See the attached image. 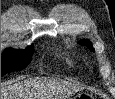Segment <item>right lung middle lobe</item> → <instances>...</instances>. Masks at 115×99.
Masks as SVG:
<instances>
[{
    "label": "right lung middle lobe",
    "mask_w": 115,
    "mask_h": 99,
    "mask_svg": "<svg viewBox=\"0 0 115 99\" xmlns=\"http://www.w3.org/2000/svg\"><path fill=\"white\" fill-rule=\"evenodd\" d=\"M33 54V45L28 46L26 50L8 49L1 57V76L26 68L31 62Z\"/></svg>",
    "instance_id": "obj_1"
}]
</instances>
